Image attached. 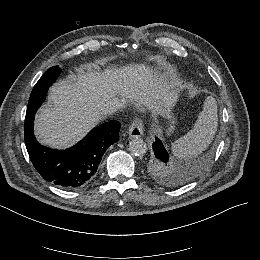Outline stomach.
I'll list each match as a JSON object with an SVG mask.
<instances>
[{
    "label": "stomach",
    "instance_id": "1",
    "mask_svg": "<svg viewBox=\"0 0 260 260\" xmlns=\"http://www.w3.org/2000/svg\"><path fill=\"white\" fill-rule=\"evenodd\" d=\"M161 114L169 123V125L165 128L166 133H172L175 130V125L177 123V119L172 112V106L164 107Z\"/></svg>",
    "mask_w": 260,
    "mask_h": 260
}]
</instances>
